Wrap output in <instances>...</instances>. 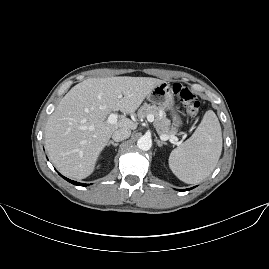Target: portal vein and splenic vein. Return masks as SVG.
<instances>
[{
  "label": "portal vein and splenic vein",
  "instance_id": "obj_1",
  "mask_svg": "<svg viewBox=\"0 0 269 269\" xmlns=\"http://www.w3.org/2000/svg\"><path fill=\"white\" fill-rule=\"evenodd\" d=\"M117 119H118V115L115 114V113H112L108 116V119H107V122L110 123V124H115L117 122ZM147 120L149 122H153L154 120V115L153 114H148L147 115ZM160 139L162 141H167L169 139H172L174 140L175 139V136L174 135H167V134H162L160 135ZM176 144H180L179 142H177Z\"/></svg>",
  "mask_w": 269,
  "mask_h": 269
}]
</instances>
